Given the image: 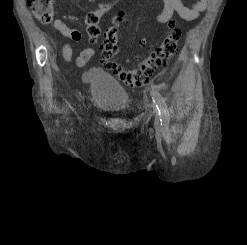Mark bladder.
Segmentation results:
<instances>
[{
  "mask_svg": "<svg viewBox=\"0 0 247 245\" xmlns=\"http://www.w3.org/2000/svg\"><path fill=\"white\" fill-rule=\"evenodd\" d=\"M86 78L92 101L97 107L109 113H120L127 109V92L107 71L94 68L87 73Z\"/></svg>",
  "mask_w": 247,
  "mask_h": 245,
  "instance_id": "obj_1",
  "label": "bladder"
}]
</instances>
